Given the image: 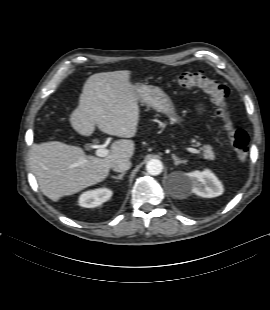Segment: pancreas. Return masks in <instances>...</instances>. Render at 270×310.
Listing matches in <instances>:
<instances>
[{"label":"pancreas","instance_id":"pancreas-1","mask_svg":"<svg viewBox=\"0 0 270 310\" xmlns=\"http://www.w3.org/2000/svg\"><path fill=\"white\" fill-rule=\"evenodd\" d=\"M192 142L195 143L194 146L200 145V143L196 142V140H192ZM201 149L204 151L203 157L205 159H208V160L215 159V153L213 152L212 147L210 145H204L203 147H201Z\"/></svg>","mask_w":270,"mask_h":310}]
</instances>
